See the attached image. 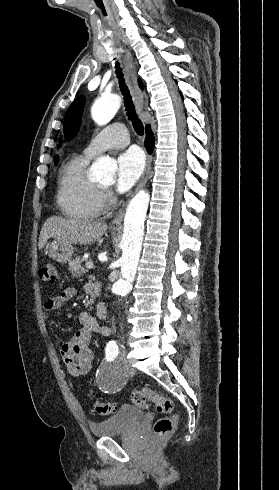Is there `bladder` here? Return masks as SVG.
<instances>
[{
	"label": "bladder",
	"instance_id": "31cf9c89",
	"mask_svg": "<svg viewBox=\"0 0 279 490\" xmlns=\"http://www.w3.org/2000/svg\"><path fill=\"white\" fill-rule=\"evenodd\" d=\"M146 412L138 406L121 405L119 410L112 417L103 421H94L90 423V431L94 437L115 436L119 432H130L136 425L142 422Z\"/></svg>",
	"mask_w": 279,
	"mask_h": 490
}]
</instances>
